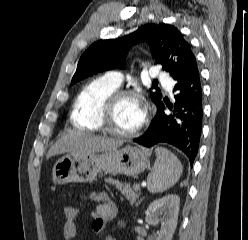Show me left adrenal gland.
Wrapping results in <instances>:
<instances>
[{
	"label": "left adrenal gland",
	"instance_id": "1",
	"mask_svg": "<svg viewBox=\"0 0 248 240\" xmlns=\"http://www.w3.org/2000/svg\"><path fill=\"white\" fill-rule=\"evenodd\" d=\"M142 200H143V198L138 201V203L136 204V206H138L141 203Z\"/></svg>",
	"mask_w": 248,
	"mask_h": 240
}]
</instances>
